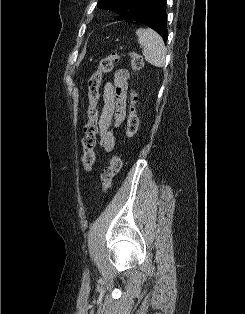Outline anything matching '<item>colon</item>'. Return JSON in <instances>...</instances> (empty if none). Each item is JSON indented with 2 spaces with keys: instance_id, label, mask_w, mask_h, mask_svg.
<instances>
[{
  "instance_id": "obj_1",
  "label": "colon",
  "mask_w": 245,
  "mask_h": 314,
  "mask_svg": "<svg viewBox=\"0 0 245 314\" xmlns=\"http://www.w3.org/2000/svg\"><path fill=\"white\" fill-rule=\"evenodd\" d=\"M131 68L133 71L138 72L142 66V58L134 53L130 52ZM121 59V55L118 53H112L98 63L96 70L90 75L87 81L88 87V122L84 127V137L82 139L83 155L82 165L86 172L92 171L95 162V145L96 134L98 131V108L97 101L99 97V87L102 82V76L112 71L114 64ZM137 94L131 93L130 106L128 113V121L126 128V137L132 138L138 131L139 118L136 110ZM121 168V160L118 155H113L110 159L109 165L101 173V184L103 192L106 193L111 186L112 178L119 172Z\"/></svg>"
}]
</instances>
